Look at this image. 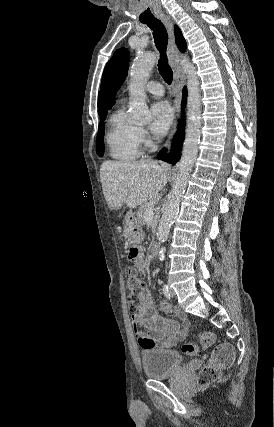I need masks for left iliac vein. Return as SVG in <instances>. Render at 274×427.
Wrapping results in <instances>:
<instances>
[{"label": "left iliac vein", "instance_id": "left-iliac-vein-1", "mask_svg": "<svg viewBox=\"0 0 274 427\" xmlns=\"http://www.w3.org/2000/svg\"><path fill=\"white\" fill-rule=\"evenodd\" d=\"M170 290H171V296L174 297L175 296V292L173 291V289H170Z\"/></svg>", "mask_w": 274, "mask_h": 427}]
</instances>
